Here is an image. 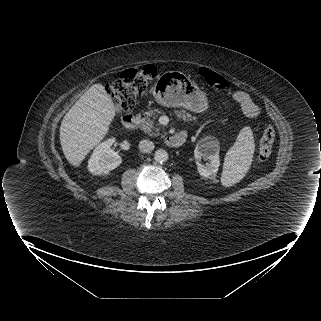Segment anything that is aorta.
Masks as SVG:
<instances>
[{
    "instance_id": "obj_1",
    "label": "aorta",
    "mask_w": 321,
    "mask_h": 321,
    "mask_svg": "<svg viewBox=\"0 0 321 321\" xmlns=\"http://www.w3.org/2000/svg\"><path fill=\"white\" fill-rule=\"evenodd\" d=\"M154 159L157 163H164L168 160V153L163 149H158L154 153Z\"/></svg>"
}]
</instances>
